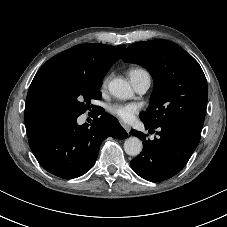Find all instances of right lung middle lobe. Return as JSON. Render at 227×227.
<instances>
[{
	"label": "right lung middle lobe",
	"mask_w": 227,
	"mask_h": 227,
	"mask_svg": "<svg viewBox=\"0 0 227 227\" xmlns=\"http://www.w3.org/2000/svg\"><path fill=\"white\" fill-rule=\"evenodd\" d=\"M104 76L59 75L50 86L49 97L58 119L83 114L92 99H100L98 91Z\"/></svg>",
	"instance_id": "right-lung-middle-lobe-1"
}]
</instances>
